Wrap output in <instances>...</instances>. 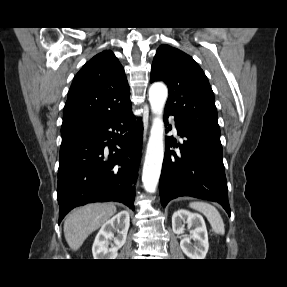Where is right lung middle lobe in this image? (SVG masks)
<instances>
[{
  "instance_id": "1",
  "label": "right lung middle lobe",
  "mask_w": 287,
  "mask_h": 287,
  "mask_svg": "<svg viewBox=\"0 0 287 287\" xmlns=\"http://www.w3.org/2000/svg\"><path fill=\"white\" fill-rule=\"evenodd\" d=\"M87 127V125H69V126H63L61 128V135H66L69 134L71 132H75V131H79L82 129H85Z\"/></svg>"
}]
</instances>
